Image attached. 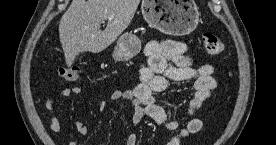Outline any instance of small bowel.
I'll list each match as a JSON object with an SVG mask.
<instances>
[{"instance_id": "obj_1", "label": "small bowel", "mask_w": 276, "mask_h": 145, "mask_svg": "<svg viewBox=\"0 0 276 145\" xmlns=\"http://www.w3.org/2000/svg\"><path fill=\"white\" fill-rule=\"evenodd\" d=\"M145 56L146 60L139 70L140 82L136 87L131 90H114L110 93L109 100L130 101L134 107L131 118L133 125H138L148 117L169 131H176L167 145H181V142L191 134L202 130V121L194 114L204 106L217 87L214 78L215 68L211 64L195 67L187 45L174 40L150 41L146 45ZM189 79H194L193 94L187 106L188 120L185 127L180 128L179 120L168 118L166 111L154 95L165 91L170 81L179 82ZM80 92L81 89L77 86L62 87L56 95L46 99L45 107L51 115L49 124L51 132L56 133L61 128L60 120L55 114L56 98L77 95ZM107 105L106 101H101L99 109L103 111ZM74 126L79 135L85 136L89 132L87 125L80 120L75 121ZM69 145H78V143L71 142ZM125 145H137L136 134L128 135Z\"/></svg>"}]
</instances>
